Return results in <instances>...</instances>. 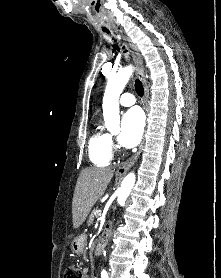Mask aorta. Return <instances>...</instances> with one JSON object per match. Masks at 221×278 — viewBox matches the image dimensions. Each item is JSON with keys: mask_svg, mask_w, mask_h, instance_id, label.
I'll return each instance as SVG.
<instances>
[{"mask_svg": "<svg viewBox=\"0 0 221 278\" xmlns=\"http://www.w3.org/2000/svg\"><path fill=\"white\" fill-rule=\"evenodd\" d=\"M132 73L133 67L127 66L108 78L102 104L104 120L108 127L111 126L113 119L119 118V97ZM135 180L136 176L132 172L123 179L117 192V203L119 205L125 203L135 184Z\"/></svg>", "mask_w": 221, "mask_h": 278, "instance_id": "obj_1", "label": "aorta"}]
</instances>
